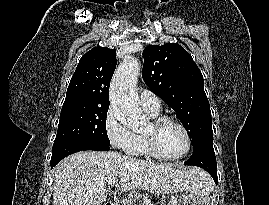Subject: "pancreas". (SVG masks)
Listing matches in <instances>:
<instances>
[{"label":"pancreas","instance_id":"1","mask_svg":"<svg viewBox=\"0 0 269 205\" xmlns=\"http://www.w3.org/2000/svg\"><path fill=\"white\" fill-rule=\"evenodd\" d=\"M141 198V195L136 191H131L127 198L123 199V205H137L136 202ZM120 205V204H117Z\"/></svg>","mask_w":269,"mask_h":205}]
</instances>
